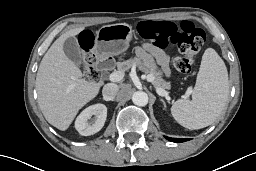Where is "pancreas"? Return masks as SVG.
Returning <instances> with one entry per match:
<instances>
[{
  "instance_id": "cf45deb5",
  "label": "pancreas",
  "mask_w": 256,
  "mask_h": 171,
  "mask_svg": "<svg viewBox=\"0 0 256 171\" xmlns=\"http://www.w3.org/2000/svg\"><path fill=\"white\" fill-rule=\"evenodd\" d=\"M134 65L143 72H145L147 75L153 76L154 79L152 81V84L156 88H170V83L163 79L162 72L157 68L154 59L150 54L146 53L145 51H142L139 54L138 58L135 57L117 63L118 69L122 71H127Z\"/></svg>"
}]
</instances>
